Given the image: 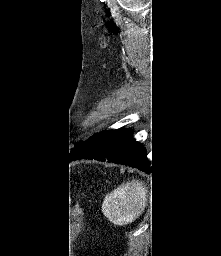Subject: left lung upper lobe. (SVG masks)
Listing matches in <instances>:
<instances>
[{
    "label": "left lung upper lobe",
    "mask_w": 221,
    "mask_h": 256,
    "mask_svg": "<svg viewBox=\"0 0 221 256\" xmlns=\"http://www.w3.org/2000/svg\"><path fill=\"white\" fill-rule=\"evenodd\" d=\"M83 144V141H80L74 148L71 149L70 157L77 151V149Z\"/></svg>",
    "instance_id": "1"
}]
</instances>
